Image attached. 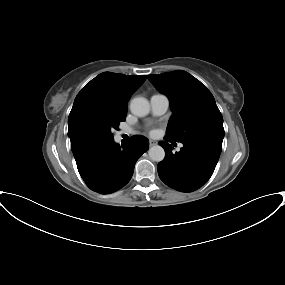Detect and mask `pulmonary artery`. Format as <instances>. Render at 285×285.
<instances>
[{"label": "pulmonary artery", "instance_id": "1", "mask_svg": "<svg viewBox=\"0 0 285 285\" xmlns=\"http://www.w3.org/2000/svg\"><path fill=\"white\" fill-rule=\"evenodd\" d=\"M151 110L153 115H163L169 108V98L164 94H154L150 98ZM131 130H123L120 132L121 135L131 134ZM182 145H180L181 147Z\"/></svg>", "mask_w": 285, "mask_h": 285}]
</instances>
